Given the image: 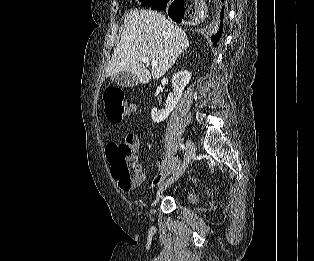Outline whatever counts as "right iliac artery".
Returning <instances> with one entry per match:
<instances>
[{"mask_svg": "<svg viewBox=\"0 0 314 261\" xmlns=\"http://www.w3.org/2000/svg\"><path fill=\"white\" fill-rule=\"evenodd\" d=\"M180 147H181L182 150L185 149V145L184 144H181Z\"/></svg>", "mask_w": 314, "mask_h": 261, "instance_id": "1", "label": "right iliac artery"}]
</instances>
